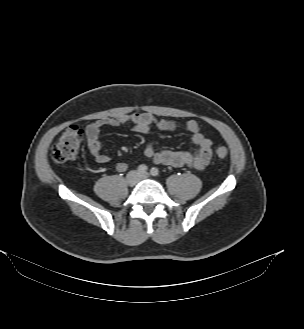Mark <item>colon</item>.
Segmentation results:
<instances>
[{"mask_svg": "<svg viewBox=\"0 0 304 329\" xmlns=\"http://www.w3.org/2000/svg\"><path fill=\"white\" fill-rule=\"evenodd\" d=\"M83 140V131L77 126L67 128L59 137L52 150V159L55 163L62 164L76 158ZM218 158L224 159L228 156L225 146L216 148Z\"/></svg>", "mask_w": 304, "mask_h": 329, "instance_id": "obj_1", "label": "colon"}]
</instances>
